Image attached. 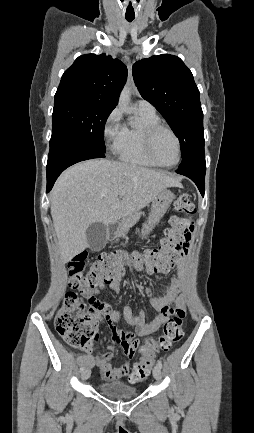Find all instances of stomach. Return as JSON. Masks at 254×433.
<instances>
[{"label": "stomach", "mask_w": 254, "mask_h": 433, "mask_svg": "<svg viewBox=\"0 0 254 433\" xmlns=\"http://www.w3.org/2000/svg\"><path fill=\"white\" fill-rule=\"evenodd\" d=\"M175 195L168 189L162 190L152 201L148 222L144 225L142 234L148 235L154 225L164 216Z\"/></svg>", "instance_id": "0dacf381"}]
</instances>
